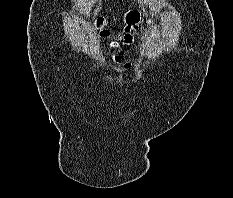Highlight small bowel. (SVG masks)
Masks as SVG:
<instances>
[{
	"mask_svg": "<svg viewBox=\"0 0 233 198\" xmlns=\"http://www.w3.org/2000/svg\"><path fill=\"white\" fill-rule=\"evenodd\" d=\"M136 38V33L125 31L120 34H118L113 41L110 43V46L112 48H115L117 50V53L113 56V60L116 63L122 64L125 69L130 68V63L123 59L121 56L120 47L121 46H129L131 45Z\"/></svg>",
	"mask_w": 233,
	"mask_h": 198,
	"instance_id": "obj_1",
	"label": "small bowel"
}]
</instances>
